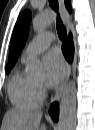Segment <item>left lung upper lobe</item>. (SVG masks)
<instances>
[{"label": "left lung upper lobe", "mask_w": 95, "mask_h": 130, "mask_svg": "<svg viewBox=\"0 0 95 130\" xmlns=\"http://www.w3.org/2000/svg\"><path fill=\"white\" fill-rule=\"evenodd\" d=\"M30 21H31V12L24 11L23 13L20 14L16 22L10 45L9 63L6 67L7 72H9L12 66L14 65L19 53L21 52L22 48L26 43Z\"/></svg>", "instance_id": "1"}]
</instances>
